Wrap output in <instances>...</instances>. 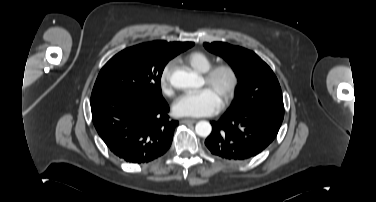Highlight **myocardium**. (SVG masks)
Wrapping results in <instances>:
<instances>
[{"label":"myocardium","instance_id":"obj_1","mask_svg":"<svg viewBox=\"0 0 376 202\" xmlns=\"http://www.w3.org/2000/svg\"><path fill=\"white\" fill-rule=\"evenodd\" d=\"M221 76H226L228 79L226 90L220 102V107L225 108L232 101L237 91L240 78L237 69L232 64L221 63L206 71L203 74V79L206 85L214 86Z\"/></svg>","mask_w":376,"mask_h":202}]
</instances>
